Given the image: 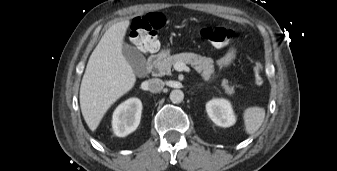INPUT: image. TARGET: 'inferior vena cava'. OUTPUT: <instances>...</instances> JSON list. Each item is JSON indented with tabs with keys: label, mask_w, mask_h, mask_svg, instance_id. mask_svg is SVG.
Instances as JSON below:
<instances>
[{
	"label": "inferior vena cava",
	"mask_w": 337,
	"mask_h": 171,
	"mask_svg": "<svg viewBox=\"0 0 337 171\" xmlns=\"http://www.w3.org/2000/svg\"><path fill=\"white\" fill-rule=\"evenodd\" d=\"M148 90L152 93L160 92L164 87V82L159 78L148 80Z\"/></svg>",
	"instance_id": "obj_1"
}]
</instances>
